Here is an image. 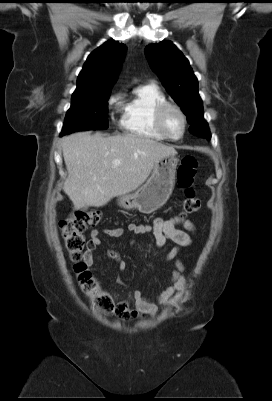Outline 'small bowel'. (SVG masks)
<instances>
[{"label":"small bowel","mask_w":272,"mask_h":401,"mask_svg":"<svg viewBox=\"0 0 272 401\" xmlns=\"http://www.w3.org/2000/svg\"><path fill=\"white\" fill-rule=\"evenodd\" d=\"M181 225L183 229H179ZM194 231V225L190 220L180 218L178 216L164 219L156 218L152 224L130 223L126 227H116L108 229H94L91 232L90 239L87 243V250L83 256V262L91 267L94 264V254L96 249L101 245V234H105L111 238H122L128 233L134 235L151 234L157 248H163L168 241L176 244L164 258L167 260L174 259L180 253L181 248L191 245V233ZM110 258L116 261L117 268L120 272L126 269V263L119 258L117 251L110 250L108 252ZM184 266L177 260L176 270L170 277L168 286L153 298L144 297L140 291H132L129 295L120 299L118 302V316L125 320H134L140 315L154 313L157 310V304L171 306L180 299V293L185 286ZM122 284L121 280H118ZM134 307H132V305Z\"/></svg>","instance_id":"small-bowel-1"}]
</instances>
